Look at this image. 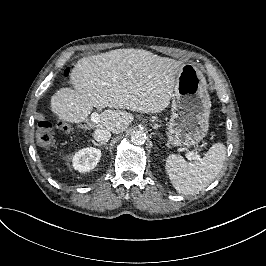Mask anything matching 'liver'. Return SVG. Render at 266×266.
Segmentation results:
<instances>
[{
    "instance_id": "1",
    "label": "liver",
    "mask_w": 266,
    "mask_h": 266,
    "mask_svg": "<svg viewBox=\"0 0 266 266\" xmlns=\"http://www.w3.org/2000/svg\"><path fill=\"white\" fill-rule=\"evenodd\" d=\"M183 62L159 57L143 49H115L79 59L70 72L68 86L59 87L50 97V113L60 121L84 123L92 106L114 108L99 113L94 128L119 135L134 116L157 114L170 105Z\"/></svg>"
}]
</instances>
